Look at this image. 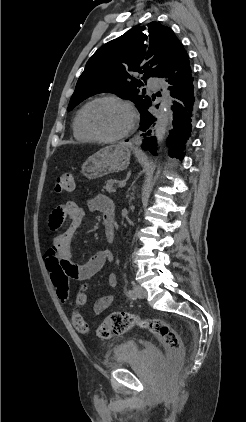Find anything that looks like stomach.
<instances>
[{
	"label": "stomach",
	"instance_id": "stomach-1",
	"mask_svg": "<svg viewBox=\"0 0 246 422\" xmlns=\"http://www.w3.org/2000/svg\"><path fill=\"white\" fill-rule=\"evenodd\" d=\"M130 149L123 144L106 146L90 157L82 165V173L88 179H97L125 170L130 163Z\"/></svg>",
	"mask_w": 246,
	"mask_h": 422
}]
</instances>
